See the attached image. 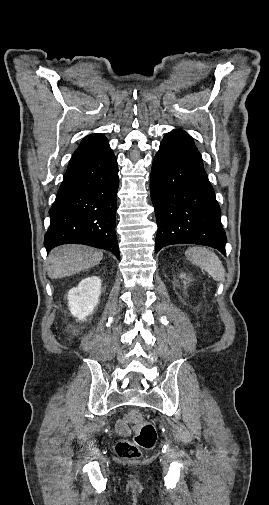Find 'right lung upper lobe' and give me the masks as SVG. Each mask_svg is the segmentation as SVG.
<instances>
[{"mask_svg":"<svg viewBox=\"0 0 269 505\" xmlns=\"http://www.w3.org/2000/svg\"><path fill=\"white\" fill-rule=\"evenodd\" d=\"M107 143V139L104 135L102 134H91L86 136L77 150L74 152L73 157H78L81 155H84L86 153L92 152L99 148L100 146L104 145Z\"/></svg>","mask_w":269,"mask_h":505,"instance_id":"cb5924a9","label":"right lung upper lobe"}]
</instances>
